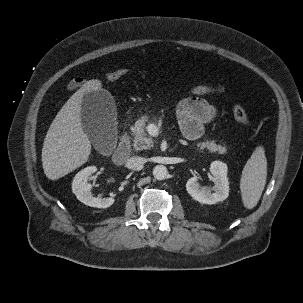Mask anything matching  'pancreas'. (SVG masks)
I'll use <instances>...</instances> for the list:
<instances>
[{
	"mask_svg": "<svg viewBox=\"0 0 303 303\" xmlns=\"http://www.w3.org/2000/svg\"><path fill=\"white\" fill-rule=\"evenodd\" d=\"M150 119L148 116H142L139 118L133 127V136H134V149L135 150H143V149H149L152 148L154 145V142L151 137L147 136V125L146 123H149ZM197 147L200 150H208L211 153L217 152L218 154H225L226 148L216 144L214 141H203L197 143Z\"/></svg>",
	"mask_w": 303,
	"mask_h": 303,
	"instance_id": "obj_1",
	"label": "pancreas"
}]
</instances>
